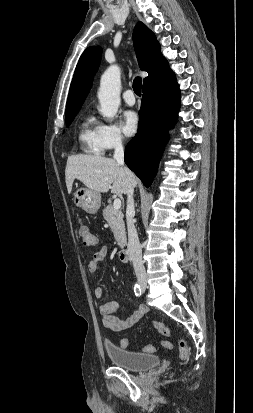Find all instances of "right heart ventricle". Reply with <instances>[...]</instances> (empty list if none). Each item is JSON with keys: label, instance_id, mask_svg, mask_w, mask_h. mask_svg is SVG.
I'll return each mask as SVG.
<instances>
[{"label": "right heart ventricle", "instance_id": "e07e8e85", "mask_svg": "<svg viewBox=\"0 0 253 413\" xmlns=\"http://www.w3.org/2000/svg\"><path fill=\"white\" fill-rule=\"evenodd\" d=\"M78 142L80 149L85 153L93 155L102 153L98 140V125L93 118H86L80 125Z\"/></svg>", "mask_w": 253, "mask_h": 413}]
</instances>
